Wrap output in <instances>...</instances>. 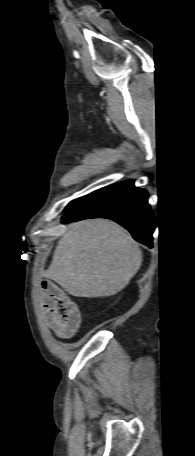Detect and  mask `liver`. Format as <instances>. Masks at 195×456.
Segmentation results:
<instances>
[{"label": "liver", "instance_id": "6515ba94", "mask_svg": "<svg viewBox=\"0 0 195 456\" xmlns=\"http://www.w3.org/2000/svg\"><path fill=\"white\" fill-rule=\"evenodd\" d=\"M142 250L120 225L91 219L68 226L44 276L76 297H109L140 269Z\"/></svg>", "mask_w": 195, "mask_h": 456}]
</instances>
